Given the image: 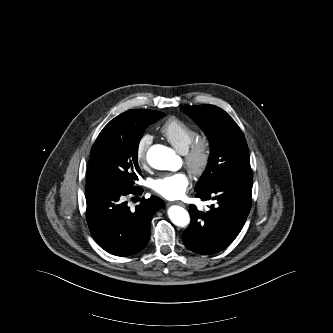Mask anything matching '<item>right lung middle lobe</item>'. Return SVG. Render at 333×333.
<instances>
[{"label":"right lung middle lobe","mask_w":333,"mask_h":333,"mask_svg":"<svg viewBox=\"0 0 333 333\" xmlns=\"http://www.w3.org/2000/svg\"><path fill=\"white\" fill-rule=\"evenodd\" d=\"M165 113L134 109L121 121H110L100 132L92 150L87 184L130 188L141 174L138 145L146 127Z\"/></svg>","instance_id":"1"}]
</instances>
